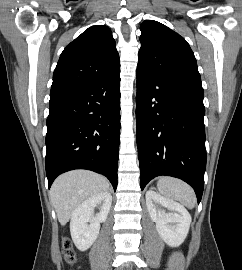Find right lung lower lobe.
I'll return each instance as SVG.
<instances>
[{"mask_svg":"<svg viewBox=\"0 0 242 270\" xmlns=\"http://www.w3.org/2000/svg\"><path fill=\"white\" fill-rule=\"evenodd\" d=\"M120 69L50 98L46 134L48 187L63 172L88 169L117 188Z\"/></svg>","mask_w":242,"mask_h":270,"instance_id":"obj_1","label":"right lung lower lobe"}]
</instances>
